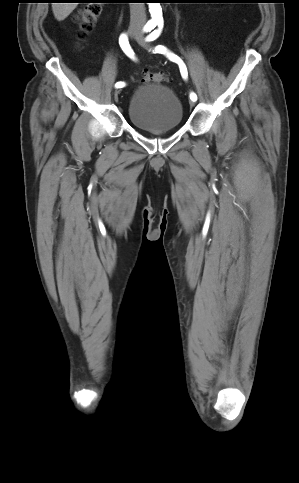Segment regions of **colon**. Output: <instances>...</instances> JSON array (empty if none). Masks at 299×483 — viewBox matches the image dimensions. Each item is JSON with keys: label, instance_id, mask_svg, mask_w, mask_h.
Listing matches in <instances>:
<instances>
[{"label": "colon", "instance_id": "1", "mask_svg": "<svg viewBox=\"0 0 299 483\" xmlns=\"http://www.w3.org/2000/svg\"><path fill=\"white\" fill-rule=\"evenodd\" d=\"M101 13V6L92 3L84 7L77 16L79 40L83 41L87 34L93 29L97 19ZM143 81L145 83H168L169 78L166 74L160 72L145 71Z\"/></svg>", "mask_w": 299, "mask_h": 483}]
</instances>
